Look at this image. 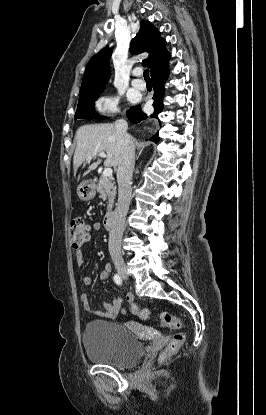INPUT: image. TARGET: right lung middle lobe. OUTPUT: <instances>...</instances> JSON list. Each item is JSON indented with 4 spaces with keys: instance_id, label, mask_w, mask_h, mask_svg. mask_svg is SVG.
<instances>
[{
    "instance_id": "1",
    "label": "right lung middle lobe",
    "mask_w": 266,
    "mask_h": 415,
    "mask_svg": "<svg viewBox=\"0 0 266 415\" xmlns=\"http://www.w3.org/2000/svg\"><path fill=\"white\" fill-rule=\"evenodd\" d=\"M100 92L102 91L94 92L89 95L79 97L78 106L75 113V120L78 118L91 119L95 116V101L100 95Z\"/></svg>"
}]
</instances>
